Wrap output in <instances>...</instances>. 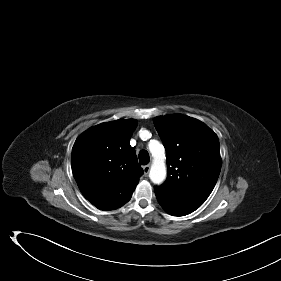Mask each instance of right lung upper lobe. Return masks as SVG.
<instances>
[{
	"label": "right lung upper lobe",
	"mask_w": 281,
	"mask_h": 281,
	"mask_svg": "<svg viewBox=\"0 0 281 281\" xmlns=\"http://www.w3.org/2000/svg\"><path fill=\"white\" fill-rule=\"evenodd\" d=\"M133 119L101 123L81 134L72 149V171L85 198L98 209L127 203L143 174L129 141Z\"/></svg>",
	"instance_id": "right-lung-upper-lobe-1"
}]
</instances>
